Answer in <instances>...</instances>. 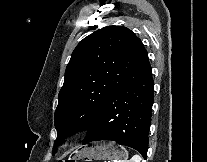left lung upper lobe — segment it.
I'll list each match as a JSON object with an SVG mask.
<instances>
[{"instance_id":"obj_1","label":"left lung upper lobe","mask_w":207,"mask_h":162,"mask_svg":"<svg viewBox=\"0 0 207 162\" xmlns=\"http://www.w3.org/2000/svg\"><path fill=\"white\" fill-rule=\"evenodd\" d=\"M147 56L128 28L107 26L84 38L65 72L55 111V146L77 130L88 129L107 99ZM55 152V149H54Z\"/></svg>"}]
</instances>
